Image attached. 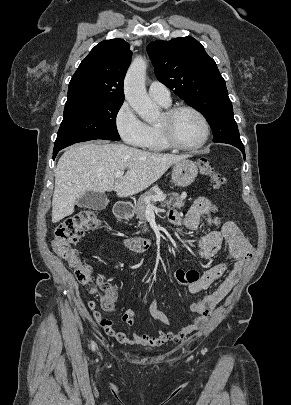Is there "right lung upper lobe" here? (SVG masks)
Segmentation results:
<instances>
[{
  "label": "right lung upper lobe",
  "instance_id": "cb5924a9",
  "mask_svg": "<svg viewBox=\"0 0 291 405\" xmlns=\"http://www.w3.org/2000/svg\"><path fill=\"white\" fill-rule=\"evenodd\" d=\"M123 39L104 40L81 62L69 83L66 104L79 101H122L123 81L131 62Z\"/></svg>",
  "mask_w": 291,
  "mask_h": 405
}]
</instances>
